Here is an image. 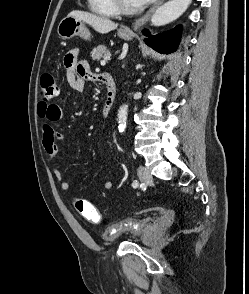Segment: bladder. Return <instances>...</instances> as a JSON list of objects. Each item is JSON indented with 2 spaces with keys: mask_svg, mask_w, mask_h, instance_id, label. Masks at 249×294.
<instances>
[{
  "mask_svg": "<svg viewBox=\"0 0 249 294\" xmlns=\"http://www.w3.org/2000/svg\"><path fill=\"white\" fill-rule=\"evenodd\" d=\"M153 223L152 217H144L119 231L117 230V224H114L104 231L102 239L105 243H113L122 235H129L137 240H144L148 237ZM114 230H116V232H113Z\"/></svg>",
  "mask_w": 249,
  "mask_h": 294,
  "instance_id": "1",
  "label": "bladder"
}]
</instances>
